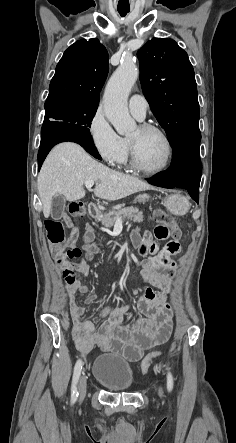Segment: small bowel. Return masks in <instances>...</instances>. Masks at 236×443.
<instances>
[{"label": "small bowel", "mask_w": 236, "mask_h": 443, "mask_svg": "<svg viewBox=\"0 0 236 443\" xmlns=\"http://www.w3.org/2000/svg\"><path fill=\"white\" fill-rule=\"evenodd\" d=\"M93 239L94 232L87 226L83 236V248L87 252L95 253L99 250V247L92 243ZM134 242L139 245L142 254L149 252L152 255L143 262L141 277L144 285L134 302L141 316L131 322L125 320V314L131 308L128 303L100 308L98 315L103 322L98 330L92 321L83 320V315L95 310L97 299L93 295L87 296L84 300L87 306L81 307L74 301V294L89 292V287L77 276V273L88 274L89 266L84 260L76 263H58L66 288L72 323L71 336L76 348L83 354L98 346L105 351L121 354L129 360H137L131 356L133 353L141 356L145 349L165 343L171 335L173 319L167 294L172 290L171 273L177 265L170 255L179 252V245L169 242L168 245H176L174 251L170 252L165 247L156 253L157 248L149 232H145L141 238L135 236ZM150 286L161 289L163 293L153 291Z\"/></svg>", "instance_id": "small-bowel-1"}]
</instances>
